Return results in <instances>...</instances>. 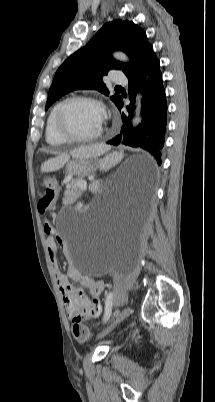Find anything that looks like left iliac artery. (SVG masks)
<instances>
[{
    "instance_id": "1",
    "label": "left iliac artery",
    "mask_w": 215,
    "mask_h": 402,
    "mask_svg": "<svg viewBox=\"0 0 215 402\" xmlns=\"http://www.w3.org/2000/svg\"><path fill=\"white\" fill-rule=\"evenodd\" d=\"M112 306H113V293L109 292L105 300V312L103 318L104 322H106L110 318L112 312Z\"/></svg>"
}]
</instances>
